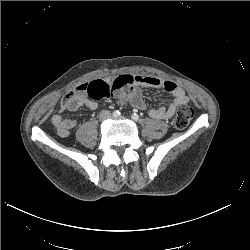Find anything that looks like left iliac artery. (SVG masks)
Returning a JSON list of instances; mask_svg holds the SVG:
<instances>
[{
	"label": "left iliac artery",
	"instance_id": "left-iliac-artery-1",
	"mask_svg": "<svg viewBox=\"0 0 250 250\" xmlns=\"http://www.w3.org/2000/svg\"><path fill=\"white\" fill-rule=\"evenodd\" d=\"M131 118L134 120V121H138L139 120V116L136 114V113H133L131 115Z\"/></svg>",
	"mask_w": 250,
	"mask_h": 250
}]
</instances>
